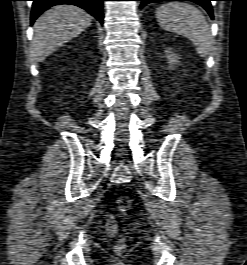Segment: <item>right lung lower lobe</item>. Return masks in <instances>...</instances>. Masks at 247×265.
I'll return each instance as SVG.
<instances>
[{"label":"right lung lower lobe","instance_id":"98d812e1","mask_svg":"<svg viewBox=\"0 0 247 265\" xmlns=\"http://www.w3.org/2000/svg\"><path fill=\"white\" fill-rule=\"evenodd\" d=\"M33 6L31 11V24L36 18L49 7L58 4H71L81 7L94 16L101 24H103V1L105 0H32Z\"/></svg>","mask_w":247,"mask_h":265}]
</instances>
